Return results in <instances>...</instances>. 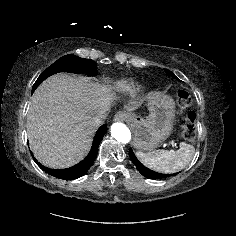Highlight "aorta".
<instances>
[{"mask_svg": "<svg viewBox=\"0 0 236 236\" xmlns=\"http://www.w3.org/2000/svg\"><path fill=\"white\" fill-rule=\"evenodd\" d=\"M111 135L118 142L128 143L131 139V132L128 127L120 122L113 123L110 128Z\"/></svg>", "mask_w": 236, "mask_h": 236, "instance_id": "1", "label": "aorta"}]
</instances>
